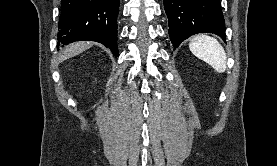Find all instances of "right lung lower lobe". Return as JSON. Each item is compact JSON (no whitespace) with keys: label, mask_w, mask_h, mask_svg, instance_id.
Segmentation results:
<instances>
[{"label":"right lung lower lobe","mask_w":277,"mask_h":166,"mask_svg":"<svg viewBox=\"0 0 277 166\" xmlns=\"http://www.w3.org/2000/svg\"><path fill=\"white\" fill-rule=\"evenodd\" d=\"M119 0H62L58 43L97 41L118 56Z\"/></svg>","instance_id":"98d812e1"}]
</instances>
